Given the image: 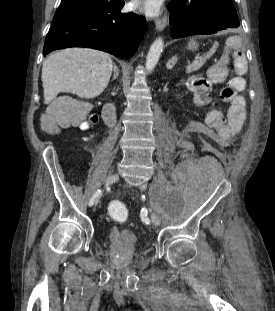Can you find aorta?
<instances>
[{"label":"aorta","mask_w":275,"mask_h":311,"mask_svg":"<svg viewBox=\"0 0 275 311\" xmlns=\"http://www.w3.org/2000/svg\"><path fill=\"white\" fill-rule=\"evenodd\" d=\"M163 46L164 42L162 38H157L151 45L146 57V69L148 72H151L155 68L162 53Z\"/></svg>","instance_id":"aorta-1"}]
</instances>
